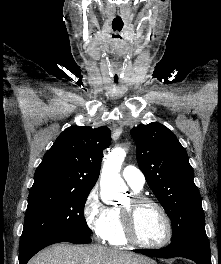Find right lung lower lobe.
<instances>
[{
    "mask_svg": "<svg viewBox=\"0 0 221 264\" xmlns=\"http://www.w3.org/2000/svg\"><path fill=\"white\" fill-rule=\"evenodd\" d=\"M91 241L92 240L90 237H84V238L68 237V238H51V239L39 240L19 249L20 250L19 264H27L29 259L33 255H35L38 251L54 243L70 242L74 244H87L90 243Z\"/></svg>",
    "mask_w": 221,
    "mask_h": 264,
    "instance_id": "98d812e1",
    "label": "right lung lower lobe"
}]
</instances>
